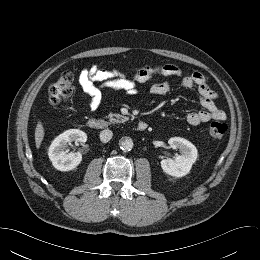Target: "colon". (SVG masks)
<instances>
[{"instance_id": "1", "label": "colon", "mask_w": 260, "mask_h": 260, "mask_svg": "<svg viewBox=\"0 0 260 260\" xmlns=\"http://www.w3.org/2000/svg\"><path fill=\"white\" fill-rule=\"evenodd\" d=\"M74 92V75L70 71H65L50 85L49 100L51 104L58 105L69 99ZM226 132L227 125L222 122H213L208 129L209 136L213 140L221 139Z\"/></svg>"}]
</instances>
